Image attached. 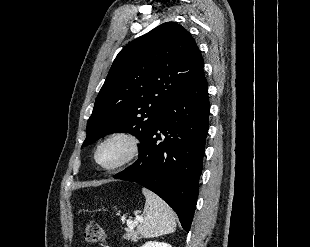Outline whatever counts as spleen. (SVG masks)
I'll return each mask as SVG.
<instances>
[{
  "instance_id": "obj_1",
  "label": "spleen",
  "mask_w": 310,
  "mask_h": 247,
  "mask_svg": "<svg viewBox=\"0 0 310 247\" xmlns=\"http://www.w3.org/2000/svg\"><path fill=\"white\" fill-rule=\"evenodd\" d=\"M146 198L138 232L144 238L170 234L176 229L175 214L170 206L153 192L143 188Z\"/></svg>"
}]
</instances>
